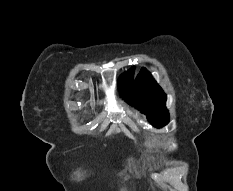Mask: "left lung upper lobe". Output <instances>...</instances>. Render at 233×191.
Returning <instances> with one entry per match:
<instances>
[{"mask_svg":"<svg viewBox=\"0 0 233 191\" xmlns=\"http://www.w3.org/2000/svg\"><path fill=\"white\" fill-rule=\"evenodd\" d=\"M133 74L134 68L120 76L118 85L121 96L127 103L146 114L153 126H165L169 122L165 93L145 68L140 70L135 80Z\"/></svg>","mask_w":233,"mask_h":191,"instance_id":"left-lung-upper-lobe-1","label":"left lung upper lobe"}]
</instances>
